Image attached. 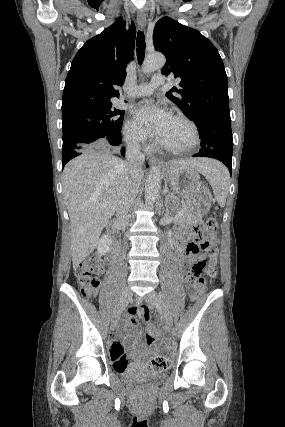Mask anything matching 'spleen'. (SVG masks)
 <instances>
[{"label": "spleen", "mask_w": 285, "mask_h": 427, "mask_svg": "<svg viewBox=\"0 0 285 427\" xmlns=\"http://www.w3.org/2000/svg\"><path fill=\"white\" fill-rule=\"evenodd\" d=\"M212 187L213 194L221 207L225 206L230 186V174L227 168L216 161L204 175Z\"/></svg>", "instance_id": "obj_1"}]
</instances>
